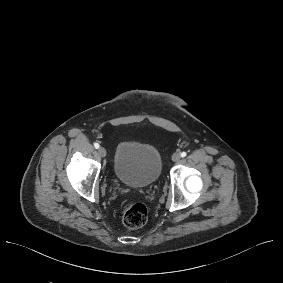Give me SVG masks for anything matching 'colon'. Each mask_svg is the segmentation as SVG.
Listing matches in <instances>:
<instances>
[{"mask_svg":"<svg viewBox=\"0 0 283 283\" xmlns=\"http://www.w3.org/2000/svg\"><path fill=\"white\" fill-rule=\"evenodd\" d=\"M122 220L126 227L135 229L147 221V208L140 202H129L123 207Z\"/></svg>","mask_w":283,"mask_h":283,"instance_id":"5ec220e1","label":"colon"}]
</instances>
